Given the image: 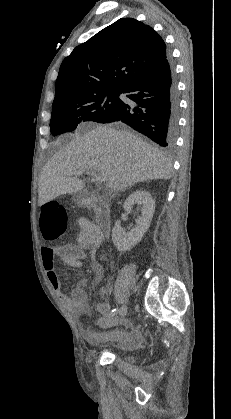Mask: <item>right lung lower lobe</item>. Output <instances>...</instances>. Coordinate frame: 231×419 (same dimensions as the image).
Wrapping results in <instances>:
<instances>
[{
    "label": "right lung lower lobe",
    "instance_id": "98d812e1",
    "mask_svg": "<svg viewBox=\"0 0 231 419\" xmlns=\"http://www.w3.org/2000/svg\"><path fill=\"white\" fill-rule=\"evenodd\" d=\"M123 93L135 104L122 103L101 123L122 121L162 147L174 144L179 100L168 59L128 85Z\"/></svg>",
    "mask_w": 231,
    "mask_h": 419
}]
</instances>
